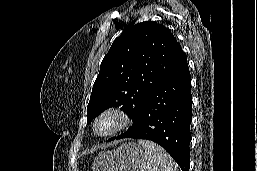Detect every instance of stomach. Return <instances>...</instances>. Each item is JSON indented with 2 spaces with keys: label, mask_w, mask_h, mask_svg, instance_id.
<instances>
[{
  "label": "stomach",
  "mask_w": 257,
  "mask_h": 171,
  "mask_svg": "<svg viewBox=\"0 0 257 171\" xmlns=\"http://www.w3.org/2000/svg\"><path fill=\"white\" fill-rule=\"evenodd\" d=\"M143 149L133 142L99 153L93 162V171H139Z\"/></svg>",
  "instance_id": "stomach-1"
}]
</instances>
